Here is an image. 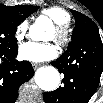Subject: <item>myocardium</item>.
<instances>
[{"instance_id": "obj_1", "label": "myocardium", "mask_w": 103, "mask_h": 103, "mask_svg": "<svg viewBox=\"0 0 103 103\" xmlns=\"http://www.w3.org/2000/svg\"><path fill=\"white\" fill-rule=\"evenodd\" d=\"M55 37L60 44L66 43L68 39L67 26L62 24H57L55 27Z\"/></svg>"}]
</instances>
